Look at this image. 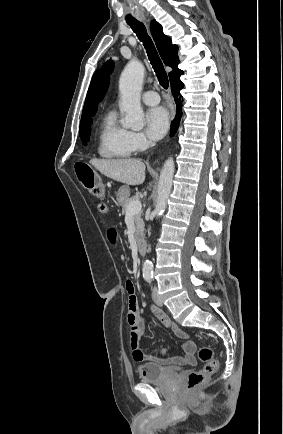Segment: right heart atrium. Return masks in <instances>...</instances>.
<instances>
[{
	"mask_svg": "<svg viewBox=\"0 0 283 434\" xmlns=\"http://www.w3.org/2000/svg\"><path fill=\"white\" fill-rule=\"evenodd\" d=\"M129 143L133 152H140L151 145L150 139L141 131H129Z\"/></svg>",
	"mask_w": 283,
	"mask_h": 434,
	"instance_id": "right-heart-atrium-1",
	"label": "right heart atrium"
}]
</instances>
